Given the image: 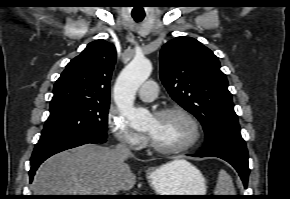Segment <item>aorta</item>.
<instances>
[{"label": "aorta", "instance_id": "aorta-1", "mask_svg": "<svg viewBox=\"0 0 290 199\" xmlns=\"http://www.w3.org/2000/svg\"><path fill=\"white\" fill-rule=\"evenodd\" d=\"M152 65L145 58H134L121 72L114 86V100L124 117L135 129L148 125L151 115L144 108L134 107L139 87L148 79Z\"/></svg>", "mask_w": 290, "mask_h": 199}]
</instances>
